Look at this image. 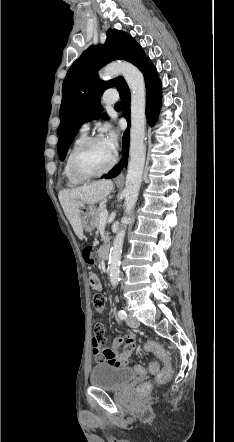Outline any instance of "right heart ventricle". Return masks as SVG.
I'll list each match as a JSON object with an SVG mask.
<instances>
[{
  "label": "right heart ventricle",
  "instance_id": "right-heart-ventricle-1",
  "mask_svg": "<svg viewBox=\"0 0 234 442\" xmlns=\"http://www.w3.org/2000/svg\"><path fill=\"white\" fill-rule=\"evenodd\" d=\"M86 138H87L86 133H83V132L79 133L78 136L74 139V141H73V143L67 153L65 163H64V168H63V175L66 178V181L70 186H77V185L82 184L85 181V180L77 178L73 174L71 167H70V158H71L73 151L76 149V147L80 143H82Z\"/></svg>",
  "mask_w": 234,
  "mask_h": 442
}]
</instances>
